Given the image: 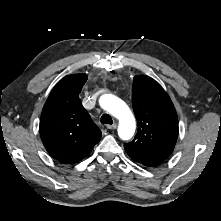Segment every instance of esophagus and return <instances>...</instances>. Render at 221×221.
<instances>
[{"mask_svg":"<svg viewBox=\"0 0 221 221\" xmlns=\"http://www.w3.org/2000/svg\"><path fill=\"white\" fill-rule=\"evenodd\" d=\"M107 128L110 129V130H114V129L117 128V124L114 123V124H112V125H107Z\"/></svg>","mask_w":221,"mask_h":221,"instance_id":"obj_1","label":"esophagus"}]
</instances>
